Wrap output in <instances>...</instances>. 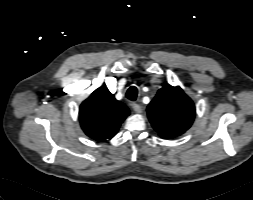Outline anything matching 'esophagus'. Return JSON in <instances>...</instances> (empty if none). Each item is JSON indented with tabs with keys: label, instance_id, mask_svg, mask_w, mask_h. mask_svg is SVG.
<instances>
[{
	"label": "esophagus",
	"instance_id": "1",
	"mask_svg": "<svg viewBox=\"0 0 253 200\" xmlns=\"http://www.w3.org/2000/svg\"><path fill=\"white\" fill-rule=\"evenodd\" d=\"M132 108L136 113H141L142 112V107L139 104L133 103Z\"/></svg>",
	"mask_w": 253,
	"mask_h": 200
}]
</instances>
